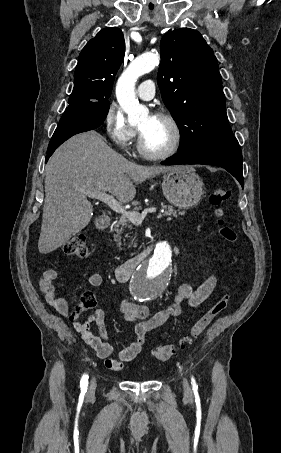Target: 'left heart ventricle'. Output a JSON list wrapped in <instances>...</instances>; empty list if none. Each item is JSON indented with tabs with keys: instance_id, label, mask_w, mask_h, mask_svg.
<instances>
[{
	"instance_id": "obj_1",
	"label": "left heart ventricle",
	"mask_w": 281,
	"mask_h": 453,
	"mask_svg": "<svg viewBox=\"0 0 281 453\" xmlns=\"http://www.w3.org/2000/svg\"><path fill=\"white\" fill-rule=\"evenodd\" d=\"M138 128L143 135L145 147L149 151L160 153L170 147L173 140L172 131L163 121L145 115L138 124Z\"/></svg>"
}]
</instances>
